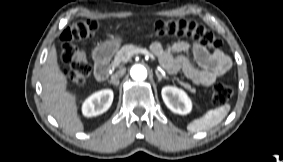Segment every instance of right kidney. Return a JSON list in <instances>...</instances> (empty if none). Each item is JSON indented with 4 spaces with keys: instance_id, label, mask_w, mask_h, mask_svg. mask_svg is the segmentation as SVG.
Wrapping results in <instances>:
<instances>
[{
    "instance_id": "ca27d5eb",
    "label": "right kidney",
    "mask_w": 283,
    "mask_h": 162,
    "mask_svg": "<svg viewBox=\"0 0 283 162\" xmlns=\"http://www.w3.org/2000/svg\"><path fill=\"white\" fill-rule=\"evenodd\" d=\"M113 91L104 89L93 93L82 105L83 115L86 117L97 116L106 112L113 102Z\"/></svg>"
}]
</instances>
